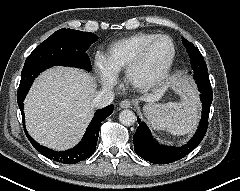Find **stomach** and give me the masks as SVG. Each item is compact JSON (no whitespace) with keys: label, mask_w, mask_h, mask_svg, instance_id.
<instances>
[{"label":"stomach","mask_w":240,"mask_h":191,"mask_svg":"<svg viewBox=\"0 0 240 191\" xmlns=\"http://www.w3.org/2000/svg\"><path fill=\"white\" fill-rule=\"evenodd\" d=\"M168 86L182 98L179 103L161 105L149 103L144 107V113L148 117L150 114L162 108H167L174 116L185 121L196 123L197 119V95L191 84L180 75L171 76Z\"/></svg>","instance_id":"0dacf381"}]
</instances>
